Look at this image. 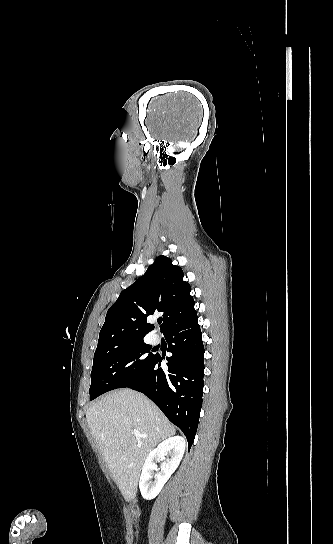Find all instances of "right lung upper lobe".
Here are the masks:
<instances>
[{
    "label": "right lung upper lobe",
    "instance_id": "1",
    "mask_svg": "<svg viewBox=\"0 0 333 544\" xmlns=\"http://www.w3.org/2000/svg\"><path fill=\"white\" fill-rule=\"evenodd\" d=\"M183 271L166 256H158L143 276L123 290L107 311L98 344L108 340L144 338L154 329L146 323L156 310L163 314V332L172 324L196 313L191 286Z\"/></svg>",
    "mask_w": 333,
    "mask_h": 544
}]
</instances>
